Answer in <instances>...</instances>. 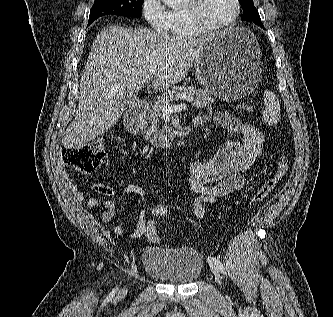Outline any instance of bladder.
I'll return each mask as SVG.
<instances>
[{
  "label": "bladder",
  "instance_id": "31cf9c89",
  "mask_svg": "<svg viewBox=\"0 0 333 317\" xmlns=\"http://www.w3.org/2000/svg\"><path fill=\"white\" fill-rule=\"evenodd\" d=\"M145 273L153 278L177 285L195 282L202 274L203 259L187 247L163 248L147 246L142 254Z\"/></svg>",
  "mask_w": 333,
  "mask_h": 317
}]
</instances>
